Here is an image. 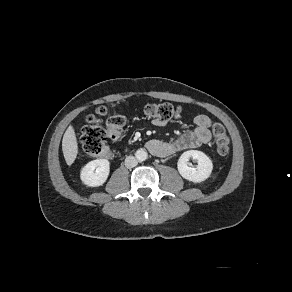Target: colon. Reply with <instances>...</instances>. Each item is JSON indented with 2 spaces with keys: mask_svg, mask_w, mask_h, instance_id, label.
Returning <instances> with one entry per match:
<instances>
[{
  "mask_svg": "<svg viewBox=\"0 0 292 292\" xmlns=\"http://www.w3.org/2000/svg\"><path fill=\"white\" fill-rule=\"evenodd\" d=\"M145 115L152 119L168 121L181 116V108L170 103H150L145 106ZM107 116L105 125L103 119ZM86 125L81 130V144L84 151L92 156L105 154L106 141H117L121 138L125 117L120 112L108 114L105 107H98L93 114L86 119ZM212 135L215 141L216 150L219 155L225 156L229 152L230 140L225 128L215 123L212 126Z\"/></svg>",
  "mask_w": 292,
  "mask_h": 292,
  "instance_id": "obj_1",
  "label": "colon"
}]
</instances>
